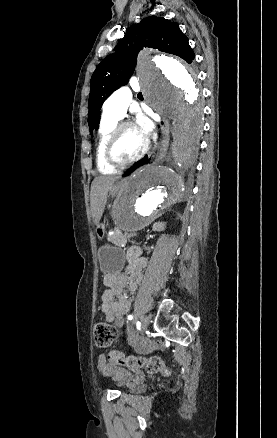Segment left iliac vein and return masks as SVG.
Segmentation results:
<instances>
[{"mask_svg":"<svg viewBox=\"0 0 277 438\" xmlns=\"http://www.w3.org/2000/svg\"><path fill=\"white\" fill-rule=\"evenodd\" d=\"M148 325H149V319H148V317H142V319H141V331H140V333H139V337L141 336V335H143V333L146 331V329L148 328Z\"/></svg>","mask_w":277,"mask_h":438,"instance_id":"4c4485c4","label":"left iliac vein"}]
</instances>
